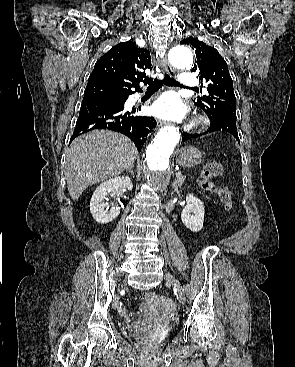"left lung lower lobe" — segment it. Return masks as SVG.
<instances>
[{
    "label": "left lung lower lobe",
    "instance_id": "left-lung-lower-lobe-1",
    "mask_svg": "<svg viewBox=\"0 0 295 367\" xmlns=\"http://www.w3.org/2000/svg\"><path fill=\"white\" fill-rule=\"evenodd\" d=\"M216 131H223L231 134L238 142V132L236 128V119L232 117H223L219 119H210V127L203 133H195V134H188L183 133L182 141H186L191 138H196L201 136L202 134L216 132Z\"/></svg>",
    "mask_w": 295,
    "mask_h": 367
}]
</instances>
